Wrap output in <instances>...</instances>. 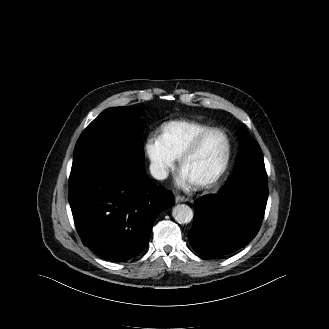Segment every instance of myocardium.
Returning <instances> with one entry per match:
<instances>
[{
  "instance_id": "f54148a6",
  "label": "myocardium",
  "mask_w": 329,
  "mask_h": 329,
  "mask_svg": "<svg viewBox=\"0 0 329 329\" xmlns=\"http://www.w3.org/2000/svg\"><path fill=\"white\" fill-rule=\"evenodd\" d=\"M212 133H221L225 137L226 145H227L226 153H225L221 166L219 167L217 172L212 177H210L209 179H207L205 181L195 183V186L200 189L209 188V187L213 186L214 184H216L222 178V176L225 174L226 170L228 169V166L230 164L231 157H232V151H233L232 141H231L229 135L226 133V131H224L221 128H209L208 130H206V131L200 133L198 136H196L193 139V141L189 144V146L184 150V152L181 154V156L179 157V169L182 171L184 164L192 156H194L196 154V152L198 151L199 146L201 145L203 140Z\"/></svg>"
}]
</instances>
